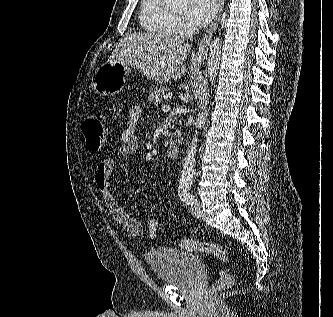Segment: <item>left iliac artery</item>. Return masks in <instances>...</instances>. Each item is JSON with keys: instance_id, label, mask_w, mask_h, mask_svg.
<instances>
[{"instance_id": "obj_1", "label": "left iliac artery", "mask_w": 333, "mask_h": 317, "mask_svg": "<svg viewBox=\"0 0 333 317\" xmlns=\"http://www.w3.org/2000/svg\"><path fill=\"white\" fill-rule=\"evenodd\" d=\"M191 189L190 184H183L179 186L178 196L181 201L185 202L186 204H192L193 196L189 193Z\"/></svg>"}]
</instances>
